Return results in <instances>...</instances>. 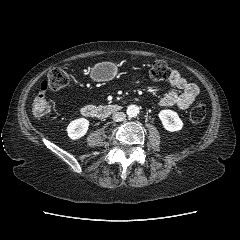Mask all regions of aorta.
<instances>
[{
	"mask_svg": "<svg viewBox=\"0 0 240 240\" xmlns=\"http://www.w3.org/2000/svg\"><path fill=\"white\" fill-rule=\"evenodd\" d=\"M126 113L129 117H135L139 114V107L137 105H129L127 107Z\"/></svg>",
	"mask_w": 240,
	"mask_h": 240,
	"instance_id": "762f6f07",
	"label": "aorta"
}]
</instances>
